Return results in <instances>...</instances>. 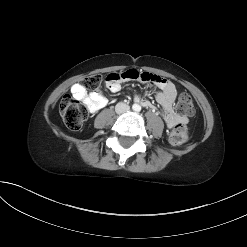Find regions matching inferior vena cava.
Instances as JSON below:
<instances>
[{"mask_svg": "<svg viewBox=\"0 0 247 247\" xmlns=\"http://www.w3.org/2000/svg\"><path fill=\"white\" fill-rule=\"evenodd\" d=\"M129 110V106L125 103L119 102L116 106H115V111L118 114L124 113L126 111Z\"/></svg>", "mask_w": 247, "mask_h": 247, "instance_id": "1", "label": "inferior vena cava"}]
</instances>
